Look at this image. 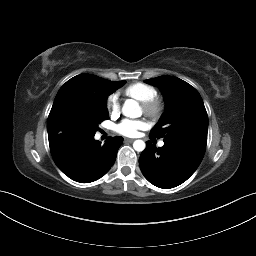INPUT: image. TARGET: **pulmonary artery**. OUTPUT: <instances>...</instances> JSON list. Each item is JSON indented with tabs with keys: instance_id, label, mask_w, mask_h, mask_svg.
<instances>
[{
	"instance_id": "e3ab8cb5",
	"label": "pulmonary artery",
	"mask_w": 256,
	"mask_h": 256,
	"mask_svg": "<svg viewBox=\"0 0 256 256\" xmlns=\"http://www.w3.org/2000/svg\"><path fill=\"white\" fill-rule=\"evenodd\" d=\"M159 146H160V147L164 146V141H160V142H159Z\"/></svg>"
}]
</instances>
